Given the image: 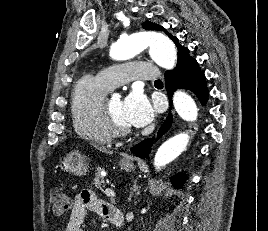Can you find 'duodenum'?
Instances as JSON below:
<instances>
[{"instance_id": "410a0bca", "label": "duodenum", "mask_w": 268, "mask_h": 231, "mask_svg": "<svg viewBox=\"0 0 268 231\" xmlns=\"http://www.w3.org/2000/svg\"><path fill=\"white\" fill-rule=\"evenodd\" d=\"M110 220L116 225L121 226L123 224V218L119 209H113Z\"/></svg>"}]
</instances>
